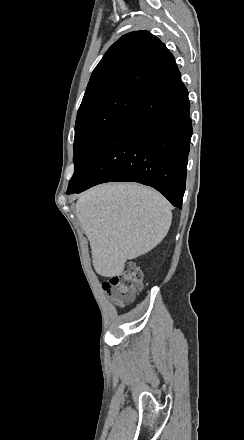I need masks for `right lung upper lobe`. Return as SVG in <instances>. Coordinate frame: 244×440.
<instances>
[{
	"label": "right lung upper lobe",
	"instance_id": "right-lung-upper-lobe-1",
	"mask_svg": "<svg viewBox=\"0 0 244 440\" xmlns=\"http://www.w3.org/2000/svg\"><path fill=\"white\" fill-rule=\"evenodd\" d=\"M177 71L173 55L157 37L147 31L125 34L94 69L81 104L119 94L141 98Z\"/></svg>",
	"mask_w": 244,
	"mask_h": 440
}]
</instances>
